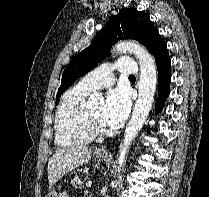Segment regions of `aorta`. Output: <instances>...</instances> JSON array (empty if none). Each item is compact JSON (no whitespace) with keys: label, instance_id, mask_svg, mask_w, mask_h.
<instances>
[{"label":"aorta","instance_id":"aorta-1","mask_svg":"<svg viewBox=\"0 0 209 197\" xmlns=\"http://www.w3.org/2000/svg\"><path fill=\"white\" fill-rule=\"evenodd\" d=\"M117 53L130 52L138 59L140 65V79L138 83V99L136 100L131 119L125 129L124 139L118 155V171L124 166L129 148L141 130L154 100L157 84V70L153 56L139 43L134 41H121L115 45ZM100 95L94 93L88 99V105L97 104Z\"/></svg>","mask_w":209,"mask_h":197}]
</instances>
